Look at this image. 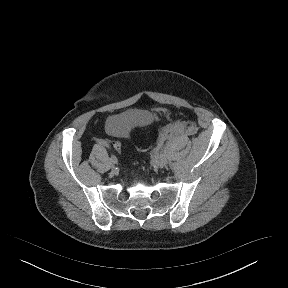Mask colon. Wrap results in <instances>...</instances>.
Here are the masks:
<instances>
[{
  "label": "colon",
  "mask_w": 288,
  "mask_h": 288,
  "mask_svg": "<svg viewBox=\"0 0 288 288\" xmlns=\"http://www.w3.org/2000/svg\"><path fill=\"white\" fill-rule=\"evenodd\" d=\"M110 146H112L115 149V153H120L121 145L120 143L116 142V140H111Z\"/></svg>",
  "instance_id": "1"
}]
</instances>
